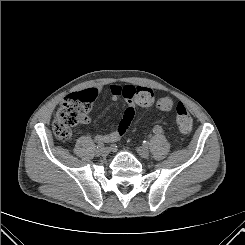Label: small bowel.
<instances>
[{
    "mask_svg": "<svg viewBox=\"0 0 245 245\" xmlns=\"http://www.w3.org/2000/svg\"><path fill=\"white\" fill-rule=\"evenodd\" d=\"M138 87L133 85H118L112 84L110 86V95L113 101H117L119 98H124L127 102V108L122 116L118 128L106 135H97L95 140L98 142L111 143L118 141L122 135L126 132L129 125L131 124L134 115L135 107L137 102L135 100V91ZM156 107L160 111H170L174 107V100L170 96H165L163 94H158L155 97ZM91 121L90 116L86 115L82 122L87 124Z\"/></svg>",
    "mask_w": 245,
    "mask_h": 245,
    "instance_id": "1",
    "label": "small bowel"
}]
</instances>
